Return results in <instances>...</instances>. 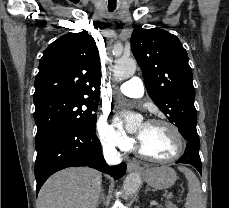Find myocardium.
Here are the masks:
<instances>
[{
	"label": "myocardium",
	"mask_w": 229,
	"mask_h": 208,
	"mask_svg": "<svg viewBox=\"0 0 229 208\" xmlns=\"http://www.w3.org/2000/svg\"><path fill=\"white\" fill-rule=\"evenodd\" d=\"M147 123L162 124V125H166L170 127L171 129H173V130H170L172 143H175L176 147H181L182 146L181 142L183 141V146L178 153H176L173 156L168 157L167 160H162L161 157H150V152L145 151V148L143 147L144 143L139 139V148H140L141 153L144 156H146L147 158H149L151 161L158 162V163H170V162H174L178 160L184 154V152L186 151L188 147V139L186 135L184 134V132L176 124H174L171 121L165 120V119H151Z\"/></svg>",
	"instance_id": "f54148a6"
}]
</instances>
